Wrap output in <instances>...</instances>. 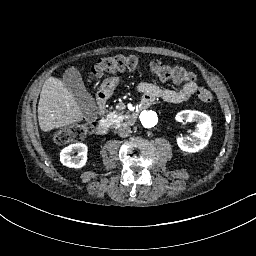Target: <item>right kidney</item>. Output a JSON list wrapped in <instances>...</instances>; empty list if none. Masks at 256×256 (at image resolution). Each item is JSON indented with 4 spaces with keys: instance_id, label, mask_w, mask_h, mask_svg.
I'll return each mask as SVG.
<instances>
[{
    "instance_id": "obj_1",
    "label": "right kidney",
    "mask_w": 256,
    "mask_h": 256,
    "mask_svg": "<svg viewBox=\"0 0 256 256\" xmlns=\"http://www.w3.org/2000/svg\"><path fill=\"white\" fill-rule=\"evenodd\" d=\"M78 152V155L71 157L70 153ZM88 161V147L84 143L71 144L62 149L60 152V162L68 167L80 169L86 166Z\"/></svg>"
}]
</instances>
